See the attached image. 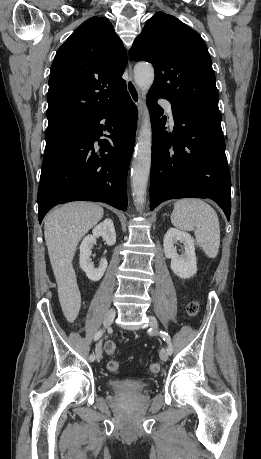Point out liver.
<instances>
[{
  "mask_svg": "<svg viewBox=\"0 0 261 459\" xmlns=\"http://www.w3.org/2000/svg\"><path fill=\"white\" fill-rule=\"evenodd\" d=\"M103 214V208L97 204L71 202L56 208L45 219V242L63 306H70L78 291L72 266L77 245Z\"/></svg>",
  "mask_w": 261,
  "mask_h": 459,
  "instance_id": "liver-1",
  "label": "liver"
}]
</instances>
